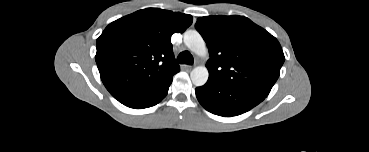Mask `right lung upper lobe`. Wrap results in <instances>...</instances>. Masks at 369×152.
<instances>
[{
	"label": "right lung upper lobe",
	"instance_id": "cb5924a9",
	"mask_svg": "<svg viewBox=\"0 0 369 152\" xmlns=\"http://www.w3.org/2000/svg\"><path fill=\"white\" fill-rule=\"evenodd\" d=\"M192 16L147 8L110 23L97 39L101 80L118 101L161 86L179 72L171 36L184 32Z\"/></svg>",
	"mask_w": 369,
	"mask_h": 152
}]
</instances>
